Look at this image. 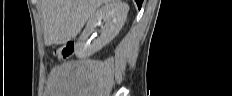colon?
<instances>
[{
	"label": "colon",
	"instance_id": "obj_1",
	"mask_svg": "<svg viewBox=\"0 0 232 96\" xmlns=\"http://www.w3.org/2000/svg\"><path fill=\"white\" fill-rule=\"evenodd\" d=\"M74 50H75V42L69 41L66 44H64L61 48H59L55 52V55L59 59H67L73 55Z\"/></svg>",
	"mask_w": 232,
	"mask_h": 96
}]
</instances>
